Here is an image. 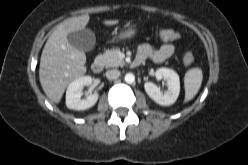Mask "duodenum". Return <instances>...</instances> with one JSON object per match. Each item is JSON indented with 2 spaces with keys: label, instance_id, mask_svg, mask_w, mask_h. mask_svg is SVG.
<instances>
[{
  "label": "duodenum",
  "instance_id": "1",
  "mask_svg": "<svg viewBox=\"0 0 248 165\" xmlns=\"http://www.w3.org/2000/svg\"><path fill=\"white\" fill-rule=\"evenodd\" d=\"M144 62V59L140 56H137L133 65L134 66H139ZM104 67V61L102 58H97L93 61L91 65V69L94 73H100L103 70Z\"/></svg>",
  "mask_w": 248,
  "mask_h": 165
}]
</instances>
